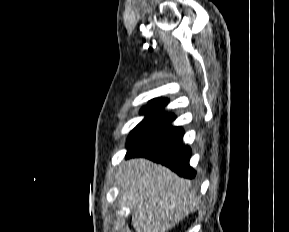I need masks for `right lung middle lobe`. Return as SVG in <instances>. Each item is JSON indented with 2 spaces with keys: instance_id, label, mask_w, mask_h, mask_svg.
<instances>
[{
  "instance_id": "dd1d6c3e",
  "label": "right lung middle lobe",
  "mask_w": 289,
  "mask_h": 232,
  "mask_svg": "<svg viewBox=\"0 0 289 232\" xmlns=\"http://www.w3.org/2000/svg\"><path fill=\"white\" fill-rule=\"evenodd\" d=\"M141 113L145 114L146 117L130 133L127 140V146L148 137L154 132L169 125L176 118L174 114H168L162 109L160 110L159 108L156 109L150 106L143 107Z\"/></svg>"
}]
</instances>
